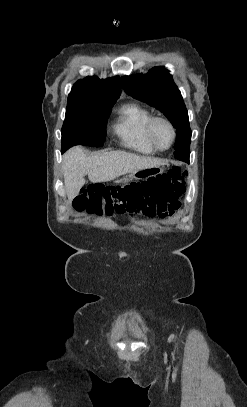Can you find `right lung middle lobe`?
Wrapping results in <instances>:
<instances>
[{
    "label": "right lung middle lobe",
    "mask_w": 247,
    "mask_h": 407,
    "mask_svg": "<svg viewBox=\"0 0 247 407\" xmlns=\"http://www.w3.org/2000/svg\"><path fill=\"white\" fill-rule=\"evenodd\" d=\"M115 102L67 105L66 117L61 130V152L78 144L103 146L107 120Z\"/></svg>",
    "instance_id": "obj_1"
}]
</instances>
